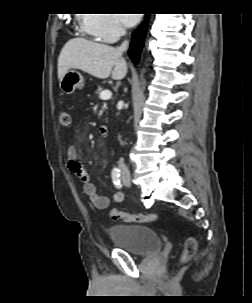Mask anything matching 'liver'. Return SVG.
<instances>
[{
  "label": "liver",
  "mask_w": 252,
  "mask_h": 303,
  "mask_svg": "<svg viewBox=\"0 0 252 303\" xmlns=\"http://www.w3.org/2000/svg\"><path fill=\"white\" fill-rule=\"evenodd\" d=\"M70 69H79L100 79L111 75L114 80L123 79L128 71L122 53L116 48L81 37L69 40L62 48L58 58L59 81Z\"/></svg>",
  "instance_id": "6515ba94"
}]
</instances>
